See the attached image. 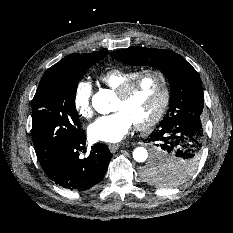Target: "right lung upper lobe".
Here are the masks:
<instances>
[{
    "instance_id": "obj_1",
    "label": "right lung upper lobe",
    "mask_w": 233,
    "mask_h": 233,
    "mask_svg": "<svg viewBox=\"0 0 233 233\" xmlns=\"http://www.w3.org/2000/svg\"><path fill=\"white\" fill-rule=\"evenodd\" d=\"M99 54H108V52H93L88 54H78L74 53L71 55L66 56L61 61L50 67L45 74L43 75L40 82L48 80L50 78L59 76L61 73L73 69L79 66L82 63L88 61L91 57H94Z\"/></svg>"
}]
</instances>
